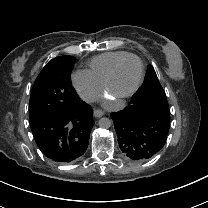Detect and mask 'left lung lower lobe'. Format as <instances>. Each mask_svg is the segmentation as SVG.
Listing matches in <instances>:
<instances>
[{
    "mask_svg": "<svg viewBox=\"0 0 208 208\" xmlns=\"http://www.w3.org/2000/svg\"><path fill=\"white\" fill-rule=\"evenodd\" d=\"M123 154L135 161L155 156L164 146L170 114L154 107L130 104L110 114Z\"/></svg>",
    "mask_w": 208,
    "mask_h": 208,
    "instance_id": "1",
    "label": "left lung lower lobe"
}]
</instances>
